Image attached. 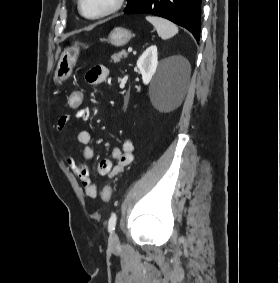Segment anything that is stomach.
<instances>
[{
	"instance_id": "1",
	"label": "stomach",
	"mask_w": 280,
	"mask_h": 283,
	"mask_svg": "<svg viewBox=\"0 0 280 283\" xmlns=\"http://www.w3.org/2000/svg\"><path fill=\"white\" fill-rule=\"evenodd\" d=\"M133 36L134 35L130 30L123 27H116L110 32L108 36V42L113 46L120 47L129 43ZM78 55L79 47H77L76 45L66 47L61 52L54 75V82L56 84L62 83V81H65L71 76Z\"/></svg>"
}]
</instances>
